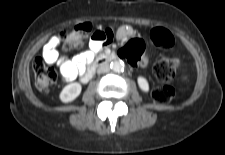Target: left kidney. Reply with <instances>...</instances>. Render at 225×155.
Segmentation results:
<instances>
[{
	"label": "left kidney",
	"instance_id": "left-kidney-1",
	"mask_svg": "<svg viewBox=\"0 0 225 155\" xmlns=\"http://www.w3.org/2000/svg\"><path fill=\"white\" fill-rule=\"evenodd\" d=\"M137 82L142 91H144V92L149 91V84L144 77H138Z\"/></svg>",
	"mask_w": 225,
	"mask_h": 155
}]
</instances>
